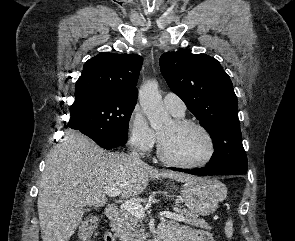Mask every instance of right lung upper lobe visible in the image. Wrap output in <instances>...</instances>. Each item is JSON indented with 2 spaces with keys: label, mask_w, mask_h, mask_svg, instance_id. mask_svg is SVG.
I'll return each mask as SVG.
<instances>
[{
  "label": "right lung upper lobe",
  "mask_w": 295,
  "mask_h": 241,
  "mask_svg": "<svg viewBox=\"0 0 295 241\" xmlns=\"http://www.w3.org/2000/svg\"><path fill=\"white\" fill-rule=\"evenodd\" d=\"M143 58L137 54L100 53L89 59L76 82V100L92 94L136 101Z\"/></svg>",
  "instance_id": "right-lung-upper-lobe-1"
}]
</instances>
